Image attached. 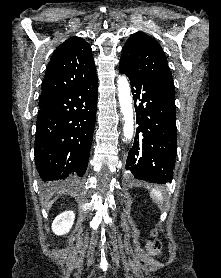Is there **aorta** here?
Here are the masks:
<instances>
[{"mask_svg":"<svg viewBox=\"0 0 221 278\" xmlns=\"http://www.w3.org/2000/svg\"><path fill=\"white\" fill-rule=\"evenodd\" d=\"M117 83L120 108L125 122L123 126V133L126 140H131L134 132V119L130 85L124 75H120L118 77Z\"/></svg>","mask_w":221,"mask_h":278,"instance_id":"aorta-1","label":"aorta"}]
</instances>
